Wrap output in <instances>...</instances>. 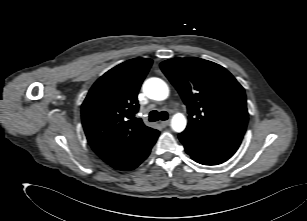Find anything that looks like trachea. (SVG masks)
Masks as SVG:
<instances>
[{"label": "trachea", "mask_w": 307, "mask_h": 221, "mask_svg": "<svg viewBox=\"0 0 307 221\" xmlns=\"http://www.w3.org/2000/svg\"><path fill=\"white\" fill-rule=\"evenodd\" d=\"M168 119V113L166 111L158 112L156 110H153L149 114V121L155 122L158 120H167Z\"/></svg>", "instance_id": "trachea-1"}]
</instances>
